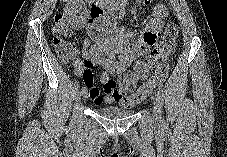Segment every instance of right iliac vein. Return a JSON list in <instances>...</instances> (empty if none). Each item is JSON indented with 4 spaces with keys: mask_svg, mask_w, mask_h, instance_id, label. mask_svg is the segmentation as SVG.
<instances>
[{
    "mask_svg": "<svg viewBox=\"0 0 227 157\" xmlns=\"http://www.w3.org/2000/svg\"><path fill=\"white\" fill-rule=\"evenodd\" d=\"M74 97H75V100L77 102L80 101V99H81V92H80V90L78 88L74 90Z\"/></svg>",
    "mask_w": 227,
    "mask_h": 157,
    "instance_id": "1",
    "label": "right iliac vein"
}]
</instances>
